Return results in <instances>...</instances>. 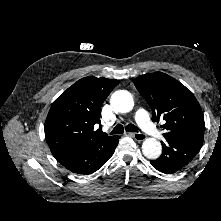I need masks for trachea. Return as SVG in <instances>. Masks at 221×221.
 Instances as JSON below:
<instances>
[{
    "label": "trachea",
    "instance_id": "obj_1",
    "mask_svg": "<svg viewBox=\"0 0 221 221\" xmlns=\"http://www.w3.org/2000/svg\"><path fill=\"white\" fill-rule=\"evenodd\" d=\"M127 132H138V128L133 124H128L125 127ZM124 132V127L121 124H118L114 127V129L111 131V134H122Z\"/></svg>",
    "mask_w": 221,
    "mask_h": 221
}]
</instances>
